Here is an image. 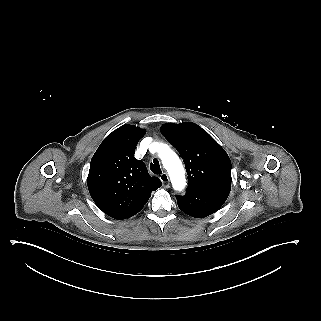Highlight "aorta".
Here are the masks:
<instances>
[{
    "mask_svg": "<svg viewBox=\"0 0 321 321\" xmlns=\"http://www.w3.org/2000/svg\"><path fill=\"white\" fill-rule=\"evenodd\" d=\"M158 152L161 155L163 166L170 176L174 190L182 191L186 185V179L181 160L168 145H160Z\"/></svg>",
    "mask_w": 321,
    "mask_h": 321,
    "instance_id": "aorta-1",
    "label": "aorta"
}]
</instances>
